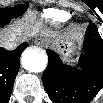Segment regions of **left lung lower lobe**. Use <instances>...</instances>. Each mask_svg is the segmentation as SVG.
Instances as JSON below:
<instances>
[{"mask_svg":"<svg viewBox=\"0 0 103 103\" xmlns=\"http://www.w3.org/2000/svg\"><path fill=\"white\" fill-rule=\"evenodd\" d=\"M85 53L80 56L79 69L64 65L59 56L48 50L49 62L43 74V84L55 103H89L103 84V41L96 25L85 33Z\"/></svg>","mask_w":103,"mask_h":103,"instance_id":"0a47b994","label":"left lung lower lobe"}]
</instances>
